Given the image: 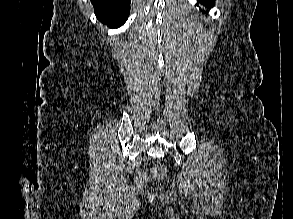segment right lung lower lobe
Instances as JSON below:
<instances>
[{
    "mask_svg": "<svg viewBox=\"0 0 293 219\" xmlns=\"http://www.w3.org/2000/svg\"><path fill=\"white\" fill-rule=\"evenodd\" d=\"M98 20L111 28L121 26L128 18L130 0H91Z\"/></svg>",
    "mask_w": 293,
    "mask_h": 219,
    "instance_id": "98d812e1",
    "label": "right lung lower lobe"
}]
</instances>
